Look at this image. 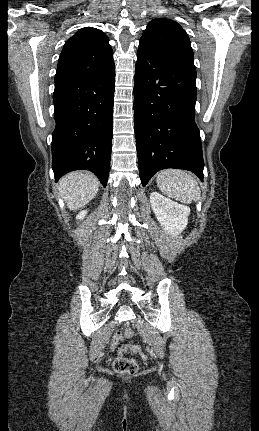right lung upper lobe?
<instances>
[{
  "instance_id": "obj_1",
  "label": "right lung upper lobe",
  "mask_w": 259,
  "mask_h": 431,
  "mask_svg": "<svg viewBox=\"0 0 259 431\" xmlns=\"http://www.w3.org/2000/svg\"><path fill=\"white\" fill-rule=\"evenodd\" d=\"M113 66V51L107 35L96 28L85 27L66 41L55 82L103 72Z\"/></svg>"
}]
</instances>
